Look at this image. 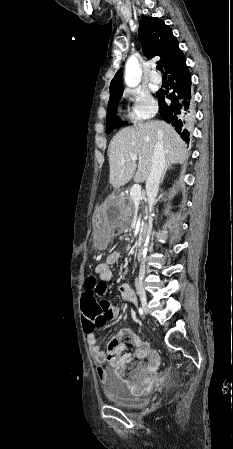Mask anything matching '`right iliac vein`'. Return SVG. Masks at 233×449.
<instances>
[{"instance_id": "63e3f726", "label": "right iliac vein", "mask_w": 233, "mask_h": 449, "mask_svg": "<svg viewBox=\"0 0 233 449\" xmlns=\"http://www.w3.org/2000/svg\"><path fill=\"white\" fill-rule=\"evenodd\" d=\"M141 305H142L143 310L147 313L148 306H147V298L145 296L141 297Z\"/></svg>"}]
</instances>
